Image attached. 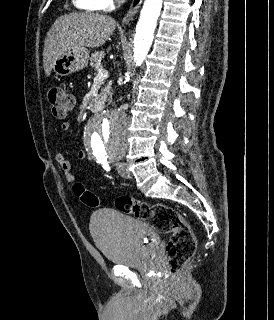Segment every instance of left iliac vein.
I'll list each match as a JSON object with an SVG mask.
<instances>
[{
    "mask_svg": "<svg viewBox=\"0 0 274 320\" xmlns=\"http://www.w3.org/2000/svg\"><path fill=\"white\" fill-rule=\"evenodd\" d=\"M117 169H118L119 174L122 177H124L126 179L132 178V174L128 170L127 165L125 163H119L117 166Z\"/></svg>",
    "mask_w": 274,
    "mask_h": 320,
    "instance_id": "1",
    "label": "left iliac vein"
}]
</instances>
